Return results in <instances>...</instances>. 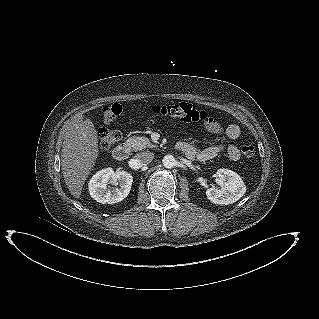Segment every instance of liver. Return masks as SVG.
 I'll return each mask as SVG.
<instances>
[{"mask_svg":"<svg viewBox=\"0 0 319 319\" xmlns=\"http://www.w3.org/2000/svg\"><path fill=\"white\" fill-rule=\"evenodd\" d=\"M98 152L97 132L91 120L80 116L69 124L62 144L61 166L65 183L75 198H80Z\"/></svg>","mask_w":319,"mask_h":319,"instance_id":"1","label":"liver"}]
</instances>
